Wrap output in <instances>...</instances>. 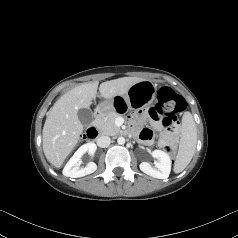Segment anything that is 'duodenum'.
<instances>
[{"label": "duodenum", "instance_id": "410a0bca", "mask_svg": "<svg viewBox=\"0 0 238 238\" xmlns=\"http://www.w3.org/2000/svg\"><path fill=\"white\" fill-rule=\"evenodd\" d=\"M103 114H104L103 109H98L95 112V118H100ZM86 134L90 139H94L98 136V130L95 126H91L88 128Z\"/></svg>", "mask_w": 238, "mask_h": 238}]
</instances>
